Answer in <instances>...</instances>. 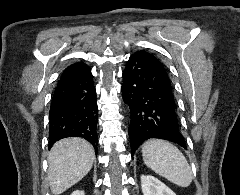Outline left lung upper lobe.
<instances>
[{
	"label": "left lung upper lobe",
	"mask_w": 240,
	"mask_h": 195,
	"mask_svg": "<svg viewBox=\"0 0 240 195\" xmlns=\"http://www.w3.org/2000/svg\"><path fill=\"white\" fill-rule=\"evenodd\" d=\"M134 54H140V55L147 56L148 58H151V59H157L156 56H154L152 53H149V52H146V51H143V50L137 51Z\"/></svg>",
	"instance_id": "obj_1"
}]
</instances>
